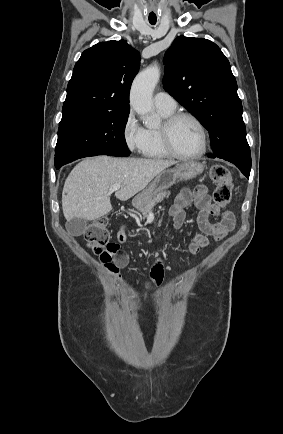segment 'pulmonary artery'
I'll use <instances>...</instances> for the list:
<instances>
[{"label": "pulmonary artery", "mask_w": 283, "mask_h": 434, "mask_svg": "<svg viewBox=\"0 0 283 434\" xmlns=\"http://www.w3.org/2000/svg\"><path fill=\"white\" fill-rule=\"evenodd\" d=\"M154 103L157 109L165 111H174L176 109V101L171 95L166 92H158L154 96Z\"/></svg>", "instance_id": "pulmonary-artery-1"}]
</instances>
